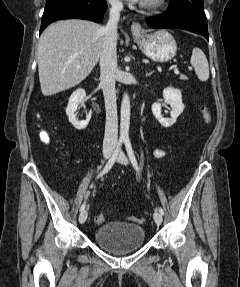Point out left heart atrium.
Wrapping results in <instances>:
<instances>
[{
  "instance_id": "39dd6f15",
  "label": "left heart atrium",
  "mask_w": 240,
  "mask_h": 287,
  "mask_svg": "<svg viewBox=\"0 0 240 287\" xmlns=\"http://www.w3.org/2000/svg\"><path fill=\"white\" fill-rule=\"evenodd\" d=\"M127 1L139 2V1H144V0H127Z\"/></svg>"
}]
</instances>
